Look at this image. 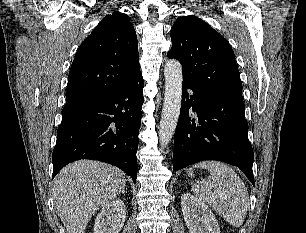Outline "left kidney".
Listing matches in <instances>:
<instances>
[{
	"mask_svg": "<svg viewBox=\"0 0 306 233\" xmlns=\"http://www.w3.org/2000/svg\"><path fill=\"white\" fill-rule=\"evenodd\" d=\"M181 207L189 233H220L212 210L190 193L181 197Z\"/></svg>",
	"mask_w": 306,
	"mask_h": 233,
	"instance_id": "left-kidney-1",
	"label": "left kidney"
}]
</instances>
